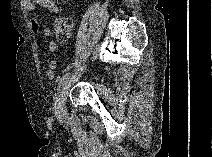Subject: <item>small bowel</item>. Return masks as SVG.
<instances>
[{"label":"small bowel","instance_id":"c3829d8e","mask_svg":"<svg viewBox=\"0 0 212 157\" xmlns=\"http://www.w3.org/2000/svg\"><path fill=\"white\" fill-rule=\"evenodd\" d=\"M38 4L41 7L47 9L52 14H58L60 12L57 3L54 0H24L22 5L24 10L27 13H33L35 10V5ZM30 29L31 31L36 34L40 30V22L36 17L31 18L30 20ZM42 34L45 37H49L51 35V30L48 27L42 29ZM48 50L50 53H55L57 51V44L53 41L49 42ZM57 67L56 60H50L47 65L46 69V78L51 80L55 76V69Z\"/></svg>","mask_w":212,"mask_h":157}]
</instances>
